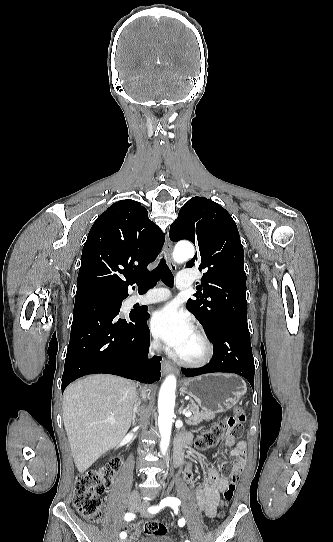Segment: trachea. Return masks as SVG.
<instances>
[{
	"label": "trachea",
	"instance_id": "3493384b",
	"mask_svg": "<svg viewBox=\"0 0 333 542\" xmlns=\"http://www.w3.org/2000/svg\"><path fill=\"white\" fill-rule=\"evenodd\" d=\"M158 280H162L168 287H172L174 284L173 274L164 259L161 260L158 267L152 270L150 275L138 279L136 283L139 289H149L154 287Z\"/></svg>",
	"mask_w": 333,
	"mask_h": 542
}]
</instances>
